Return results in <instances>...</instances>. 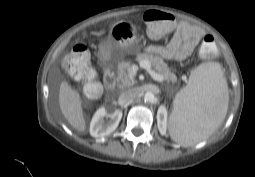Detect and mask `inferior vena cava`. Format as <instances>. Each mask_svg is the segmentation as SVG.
I'll list each match as a JSON object with an SVG mask.
<instances>
[{"label": "inferior vena cava", "mask_w": 255, "mask_h": 177, "mask_svg": "<svg viewBox=\"0 0 255 177\" xmlns=\"http://www.w3.org/2000/svg\"><path fill=\"white\" fill-rule=\"evenodd\" d=\"M140 92L137 89H129L120 95V100L124 103H130L139 96Z\"/></svg>", "instance_id": "obj_1"}]
</instances>
